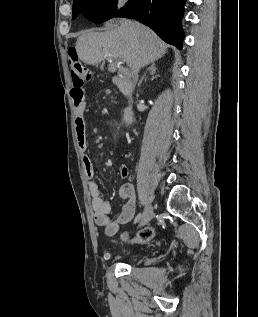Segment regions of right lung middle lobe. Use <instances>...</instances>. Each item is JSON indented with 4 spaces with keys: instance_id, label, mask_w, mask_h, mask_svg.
<instances>
[{
    "instance_id": "1",
    "label": "right lung middle lobe",
    "mask_w": 258,
    "mask_h": 317,
    "mask_svg": "<svg viewBox=\"0 0 258 317\" xmlns=\"http://www.w3.org/2000/svg\"><path fill=\"white\" fill-rule=\"evenodd\" d=\"M117 0H73L72 18L83 15L95 23L105 22L115 16Z\"/></svg>"
}]
</instances>
